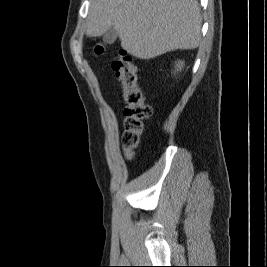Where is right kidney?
<instances>
[{
  "label": "right kidney",
  "mask_w": 267,
  "mask_h": 267,
  "mask_svg": "<svg viewBox=\"0 0 267 267\" xmlns=\"http://www.w3.org/2000/svg\"><path fill=\"white\" fill-rule=\"evenodd\" d=\"M184 67V61H178L175 63V72L181 71Z\"/></svg>",
  "instance_id": "obj_1"
}]
</instances>
